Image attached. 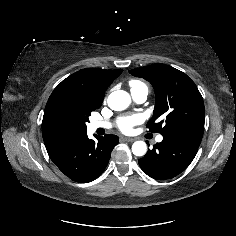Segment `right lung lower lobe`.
Segmentation results:
<instances>
[{
  "label": "right lung lower lobe",
  "mask_w": 236,
  "mask_h": 236,
  "mask_svg": "<svg viewBox=\"0 0 236 236\" xmlns=\"http://www.w3.org/2000/svg\"><path fill=\"white\" fill-rule=\"evenodd\" d=\"M97 142L87 134L74 139L50 155L54 164L70 179L88 183L96 179L106 168L119 137L107 134L96 136Z\"/></svg>",
  "instance_id": "1"
}]
</instances>
